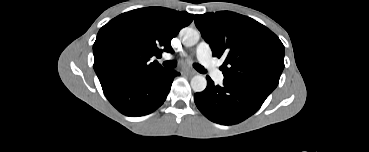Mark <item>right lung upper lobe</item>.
<instances>
[{
    "mask_svg": "<svg viewBox=\"0 0 369 152\" xmlns=\"http://www.w3.org/2000/svg\"><path fill=\"white\" fill-rule=\"evenodd\" d=\"M193 18L187 12L148 7L125 12L104 25L93 45L94 70L103 91L133 76L164 69L150 58L173 52L172 38Z\"/></svg>",
    "mask_w": 369,
    "mask_h": 152,
    "instance_id": "1",
    "label": "right lung upper lobe"
}]
</instances>
